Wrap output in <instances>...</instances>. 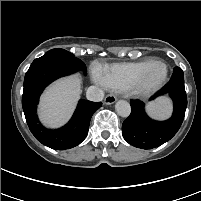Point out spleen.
Instances as JSON below:
<instances>
[{
    "label": "spleen",
    "instance_id": "1",
    "mask_svg": "<svg viewBox=\"0 0 201 201\" xmlns=\"http://www.w3.org/2000/svg\"><path fill=\"white\" fill-rule=\"evenodd\" d=\"M146 109L152 117L164 119L170 116L172 105L168 98L160 97L156 101L149 103Z\"/></svg>",
    "mask_w": 201,
    "mask_h": 201
}]
</instances>
